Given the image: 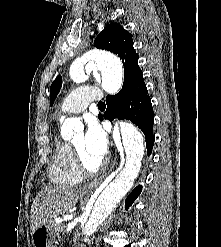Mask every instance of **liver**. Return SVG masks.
Listing matches in <instances>:
<instances>
[{
	"label": "liver",
	"instance_id": "1",
	"mask_svg": "<svg viewBox=\"0 0 221 247\" xmlns=\"http://www.w3.org/2000/svg\"><path fill=\"white\" fill-rule=\"evenodd\" d=\"M79 198V191L71 187L45 186L37 194L30 215V229L34 231L57 216L68 212Z\"/></svg>",
	"mask_w": 221,
	"mask_h": 247
}]
</instances>
